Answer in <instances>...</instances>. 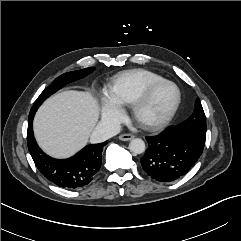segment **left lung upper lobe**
<instances>
[{"mask_svg": "<svg viewBox=\"0 0 241 241\" xmlns=\"http://www.w3.org/2000/svg\"><path fill=\"white\" fill-rule=\"evenodd\" d=\"M178 128L190 131L202 145L206 139V117L199 98L196 99L195 110L193 114L184 122L180 123Z\"/></svg>", "mask_w": 241, "mask_h": 241, "instance_id": "left-lung-upper-lobe-1", "label": "left lung upper lobe"}]
</instances>
